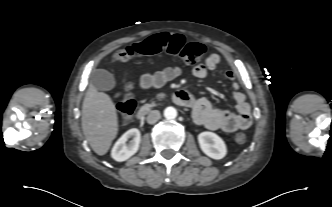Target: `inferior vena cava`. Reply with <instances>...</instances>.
<instances>
[{
    "label": "inferior vena cava",
    "mask_w": 332,
    "mask_h": 207,
    "mask_svg": "<svg viewBox=\"0 0 332 207\" xmlns=\"http://www.w3.org/2000/svg\"><path fill=\"white\" fill-rule=\"evenodd\" d=\"M160 117H161V115L158 110H152L149 112V114L147 116V122L149 124H154L160 119Z\"/></svg>",
    "instance_id": "obj_1"
}]
</instances>
